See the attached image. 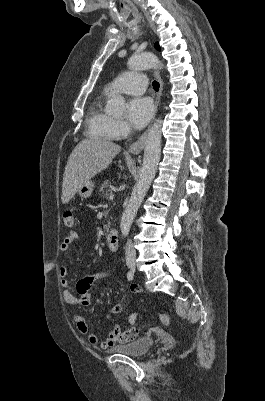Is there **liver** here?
<instances>
[{"label": "liver", "mask_w": 265, "mask_h": 401, "mask_svg": "<svg viewBox=\"0 0 265 401\" xmlns=\"http://www.w3.org/2000/svg\"><path fill=\"white\" fill-rule=\"evenodd\" d=\"M121 146L103 138H83L73 148L65 166L62 182V203L66 205L80 184L105 170Z\"/></svg>", "instance_id": "6515ba94"}]
</instances>
